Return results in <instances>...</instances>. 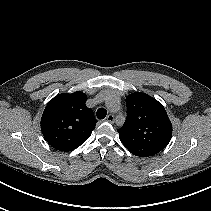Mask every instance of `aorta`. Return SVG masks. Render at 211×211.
<instances>
[{
  "label": "aorta",
  "mask_w": 211,
  "mask_h": 211,
  "mask_svg": "<svg viewBox=\"0 0 211 211\" xmlns=\"http://www.w3.org/2000/svg\"><path fill=\"white\" fill-rule=\"evenodd\" d=\"M115 105H117L116 102H111V103L109 104L110 107H114Z\"/></svg>",
  "instance_id": "obj_1"
}]
</instances>
